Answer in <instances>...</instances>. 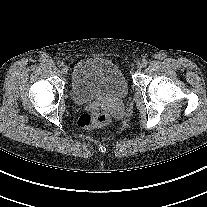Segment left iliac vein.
Instances as JSON below:
<instances>
[{"instance_id":"1","label":"left iliac vein","mask_w":207,"mask_h":207,"mask_svg":"<svg viewBox=\"0 0 207 207\" xmlns=\"http://www.w3.org/2000/svg\"><path fill=\"white\" fill-rule=\"evenodd\" d=\"M144 67L142 62L137 63V69L141 70Z\"/></svg>"}]
</instances>
